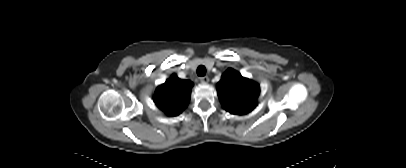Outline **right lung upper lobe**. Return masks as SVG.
<instances>
[{
    "instance_id": "obj_1",
    "label": "right lung upper lobe",
    "mask_w": 406,
    "mask_h": 168,
    "mask_svg": "<svg viewBox=\"0 0 406 168\" xmlns=\"http://www.w3.org/2000/svg\"><path fill=\"white\" fill-rule=\"evenodd\" d=\"M192 86L191 81L179 79L174 74L156 89L154 101L168 116H177L188 105Z\"/></svg>"
}]
</instances>
